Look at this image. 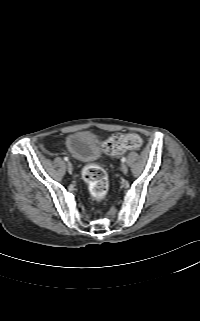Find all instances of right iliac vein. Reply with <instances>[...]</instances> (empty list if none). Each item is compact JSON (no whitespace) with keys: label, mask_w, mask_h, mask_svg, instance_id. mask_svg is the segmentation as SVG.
<instances>
[{"label":"right iliac vein","mask_w":200,"mask_h":321,"mask_svg":"<svg viewBox=\"0 0 200 321\" xmlns=\"http://www.w3.org/2000/svg\"><path fill=\"white\" fill-rule=\"evenodd\" d=\"M66 167H67V170H68L69 173H71L73 171V167H72V164L70 162H67Z\"/></svg>","instance_id":"63e3f726"}]
</instances>
